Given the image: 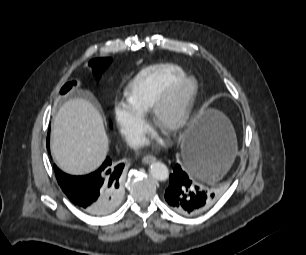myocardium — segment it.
<instances>
[{
	"instance_id": "obj_1",
	"label": "myocardium",
	"mask_w": 306,
	"mask_h": 255,
	"mask_svg": "<svg viewBox=\"0 0 306 255\" xmlns=\"http://www.w3.org/2000/svg\"><path fill=\"white\" fill-rule=\"evenodd\" d=\"M199 94V84L194 77H184L167 90L150 110L151 121L154 126L175 133L183 129L191 117ZM173 109L172 118L164 122V114Z\"/></svg>"
}]
</instances>
